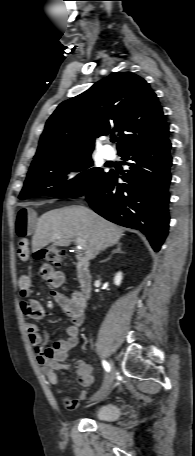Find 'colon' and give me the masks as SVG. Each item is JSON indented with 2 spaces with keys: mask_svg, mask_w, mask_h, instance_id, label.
I'll return each instance as SVG.
<instances>
[{
  "mask_svg": "<svg viewBox=\"0 0 195 456\" xmlns=\"http://www.w3.org/2000/svg\"><path fill=\"white\" fill-rule=\"evenodd\" d=\"M37 259L45 261L51 267L59 268L65 265L67 252L57 247H48L36 253Z\"/></svg>",
  "mask_w": 195,
  "mask_h": 456,
  "instance_id": "1",
  "label": "colon"
}]
</instances>
